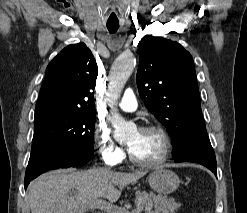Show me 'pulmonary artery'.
Returning a JSON list of instances; mask_svg holds the SVG:
<instances>
[{"label": "pulmonary artery", "instance_id": "1", "mask_svg": "<svg viewBox=\"0 0 247 213\" xmlns=\"http://www.w3.org/2000/svg\"><path fill=\"white\" fill-rule=\"evenodd\" d=\"M137 106L138 104L133 89H126L123 98L119 102V107L124 111L133 112L137 109Z\"/></svg>", "mask_w": 247, "mask_h": 213}]
</instances>
